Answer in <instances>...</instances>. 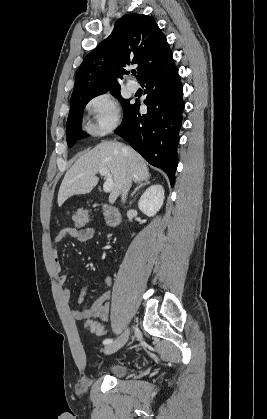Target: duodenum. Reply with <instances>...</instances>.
Returning <instances> with one entry per match:
<instances>
[{
    "mask_svg": "<svg viewBox=\"0 0 267 419\" xmlns=\"http://www.w3.org/2000/svg\"><path fill=\"white\" fill-rule=\"evenodd\" d=\"M102 211L107 226L116 227L119 224L120 214L115 207L108 204H103Z\"/></svg>",
    "mask_w": 267,
    "mask_h": 419,
    "instance_id": "1",
    "label": "duodenum"
}]
</instances>
